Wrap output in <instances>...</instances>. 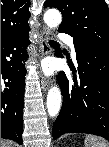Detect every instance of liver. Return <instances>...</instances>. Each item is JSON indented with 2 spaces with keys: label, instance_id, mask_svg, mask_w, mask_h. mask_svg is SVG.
<instances>
[{
  "label": "liver",
  "instance_id": "1",
  "mask_svg": "<svg viewBox=\"0 0 109 147\" xmlns=\"http://www.w3.org/2000/svg\"><path fill=\"white\" fill-rule=\"evenodd\" d=\"M1 146L2 147H14V143L9 140H2Z\"/></svg>",
  "mask_w": 109,
  "mask_h": 147
}]
</instances>
